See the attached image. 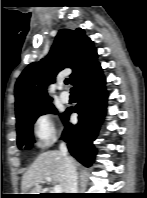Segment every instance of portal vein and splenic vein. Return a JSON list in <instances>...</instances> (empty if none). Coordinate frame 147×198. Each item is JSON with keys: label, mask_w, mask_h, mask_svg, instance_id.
I'll list each match as a JSON object with an SVG mask.
<instances>
[{"label": "portal vein and splenic vein", "mask_w": 147, "mask_h": 198, "mask_svg": "<svg viewBox=\"0 0 147 198\" xmlns=\"http://www.w3.org/2000/svg\"><path fill=\"white\" fill-rule=\"evenodd\" d=\"M46 181L51 182L52 178L47 177ZM53 193H62V187L60 185H55L54 188H53Z\"/></svg>", "instance_id": "obj_1"}]
</instances>
